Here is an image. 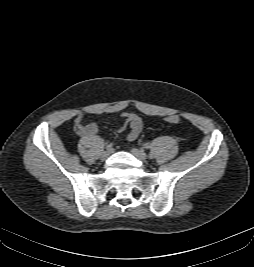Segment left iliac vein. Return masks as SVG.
<instances>
[{
    "label": "left iliac vein",
    "mask_w": 254,
    "mask_h": 267,
    "mask_svg": "<svg viewBox=\"0 0 254 267\" xmlns=\"http://www.w3.org/2000/svg\"><path fill=\"white\" fill-rule=\"evenodd\" d=\"M131 153L137 157L139 160L143 161V162H147V154L141 150V149H137V148H132L131 149Z\"/></svg>",
    "instance_id": "1"
}]
</instances>
